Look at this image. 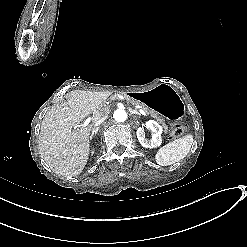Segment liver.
Masks as SVG:
<instances>
[{"label": "liver", "instance_id": "obj_1", "mask_svg": "<svg viewBox=\"0 0 247 247\" xmlns=\"http://www.w3.org/2000/svg\"><path fill=\"white\" fill-rule=\"evenodd\" d=\"M107 97L101 91L73 90L65 101L46 112L40 127L39 150L55 174L69 178L82 173L90 156L91 128L104 117ZM92 114L91 123L79 132L78 125Z\"/></svg>", "mask_w": 247, "mask_h": 247}]
</instances>
